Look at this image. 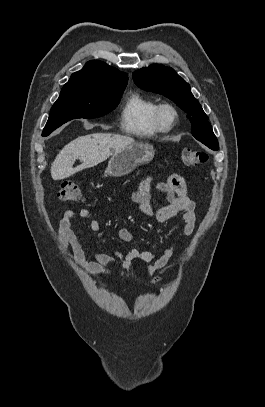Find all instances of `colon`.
Here are the masks:
<instances>
[{"mask_svg": "<svg viewBox=\"0 0 265 407\" xmlns=\"http://www.w3.org/2000/svg\"><path fill=\"white\" fill-rule=\"evenodd\" d=\"M181 159L187 166H196L206 162L207 154L203 151L186 148L181 152ZM80 187L72 181L63 182L58 192L60 200L65 202H77L82 199Z\"/></svg>", "mask_w": 265, "mask_h": 407, "instance_id": "1", "label": "colon"}]
</instances>
